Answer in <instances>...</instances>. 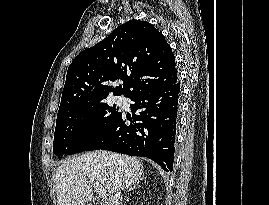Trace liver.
Masks as SVG:
<instances>
[{
	"label": "liver",
	"instance_id": "liver-1",
	"mask_svg": "<svg viewBox=\"0 0 269 205\" xmlns=\"http://www.w3.org/2000/svg\"><path fill=\"white\" fill-rule=\"evenodd\" d=\"M143 170L137 158L123 154L100 150L74 156L56 169L58 205H87L94 183L104 186L111 197L140 180Z\"/></svg>",
	"mask_w": 269,
	"mask_h": 205
}]
</instances>
